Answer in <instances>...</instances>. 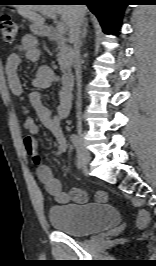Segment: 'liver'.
Returning a JSON list of instances; mask_svg holds the SVG:
<instances>
[{"label": "liver", "mask_w": 156, "mask_h": 266, "mask_svg": "<svg viewBox=\"0 0 156 266\" xmlns=\"http://www.w3.org/2000/svg\"><path fill=\"white\" fill-rule=\"evenodd\" d=\"M39 11L60 14L63 23L69 29V33L73 26L75 16H78L83 21L87 14V8L82 5H20L19 7L20 14L32 21V30L35 28H44L45 18L37 13Z\"/></svg>", "instance_id": "1"}]
</instances>
